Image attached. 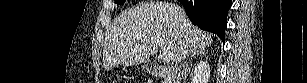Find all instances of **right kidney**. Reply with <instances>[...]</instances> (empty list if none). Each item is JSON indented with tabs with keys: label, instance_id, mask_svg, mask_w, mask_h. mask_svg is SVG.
<instances>
[{
	"label": "right kidney",
	"instance_id": "obj_1",
	"mask_svg": "<svg viewBox=\"0 0 307 83\" xmlns=\"http://www.w3.org/2000/svg\"><path fill=\"white\" fill-rule=\"evenodd\" d=\"M210 66L207 61L199 62L191 74V83H208Z\"/></svg>",
	"mask_w": 307,
	"mask_h": 83
}]
</instances>
